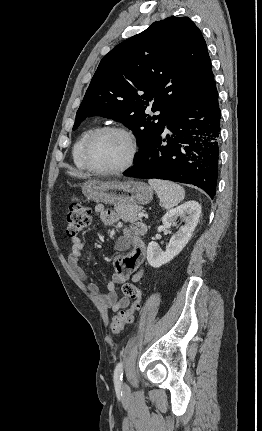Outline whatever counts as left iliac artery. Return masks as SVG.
<instances>
[{"mask_svg": "<svg viewBox=\"0 0 262 431\" xmlns=\"http://www.w3.org/2000/svg\"><path fill=\"white\" fill-rule=\"evenodd\" d=\"M123 377V362L120 361L114 371V382L116 385H120Z\"/></svg>", "mask_w": 262, "mask_h": 431, "instance_id": "44dca946", "label": "left iliac artery"}]
</instances>
